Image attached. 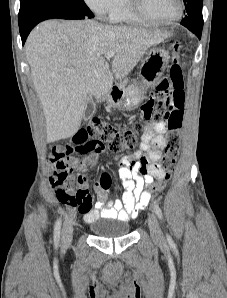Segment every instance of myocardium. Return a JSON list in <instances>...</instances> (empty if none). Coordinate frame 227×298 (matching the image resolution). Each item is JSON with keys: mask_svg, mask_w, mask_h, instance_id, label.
<instances>
[{"mask_svg": "<svg viewBox=\"0 0 227 298\" xmlns=\"http://www.w3.org/2000/svg\"><path fill=\"white\" fill-rule=\"evenodd\" d=\"M130 11L140 20L145 23L157 25V26H168L179 21L183 15L184 5L182 0H176L177 13L176 15L166 21L157 20L151 17L144 9L142 0H127Z\"/></svg>", "mask_w": 227, "mask_h": 298, "instance_id": "f54148a6", "label": "myocardium"}]
</instances>
